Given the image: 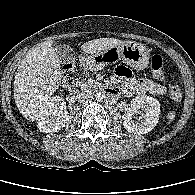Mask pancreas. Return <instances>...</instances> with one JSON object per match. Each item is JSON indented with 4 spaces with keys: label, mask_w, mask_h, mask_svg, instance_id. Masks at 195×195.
<instances>
[{
    "label": "pancreas",
    "mask_w": 195,
    "mask_h": 195,
    "mask_svg": "<svg viewBox=\"0 0 195 195\" xmlns=\"http://www.w3.org/2000/svg\"><path fill=\"white\" fill-rule=\"evenodd\" d=\"M84 85L88 88H96L100 85V83L97 82L96 80L89 79L86 82H84Z\"/></svg>",
    "instance_id": "cf45deb5"
}]
</instances>
